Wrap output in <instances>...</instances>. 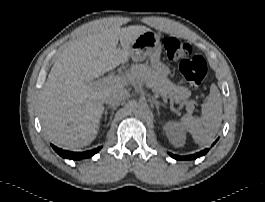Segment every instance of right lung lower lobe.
<instances>
[{
    "instance_id": "1",
    "label": "right lung lower lobe",
    "mask_w": 265,
    "mask_h": 202,
    "mask_svg": "<svg viewBox=\"0 0 265 202\" xmlns=\"http://www.w3.org/2000/svg\"><path fill=\"white\" fill-rule=\"evenodd\" d=\"M52 147L63 158H68L72 160H79V159H85V158L91 157L102 148V147H98V148H95L93 150L86 151V152H70V151L57 148L56 146H53V145Z\"/></svg>"
}]
</instances>
